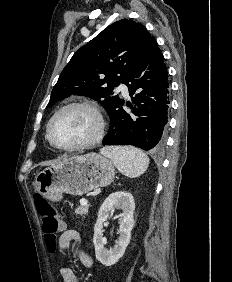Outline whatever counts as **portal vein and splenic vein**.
Here are the masks:
<instances>
[{
	"mask_svg": "<svg viewBox=\"0 0 232 282\" xmlns=\"http://www.w3.org/2000/svg\"><path fill=\"white\" fill-rule=\"evenodd\" d=\"M80 204H81L82 206H86V205L88 204V201H87L86 199H81V200H80Z\"/></svg>",
	"mask_w": 232,
	"mask_h": 282,
	"instance_id": "1",
	"label": "portal vein and splenic vein"
}]
</instances>
